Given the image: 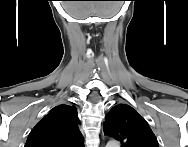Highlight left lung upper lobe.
<instances>
[{
	"label": "left lung upper lobe",
	"mask_w": 188,
	"mask_h": 147,
	"mask_svg": "<svg viewBox=\"0 0 188 147\" xmlns=\"http://www.w3.org/2000/svg\"><path fill=\"white\" fill-rule=\"evenodd\" d=\"M104 134L119 140L122 147H159L146 120L127 104H118L108 112Z\"/></svg>",
	"instance_id": "obj_1"
}]
</instances>
